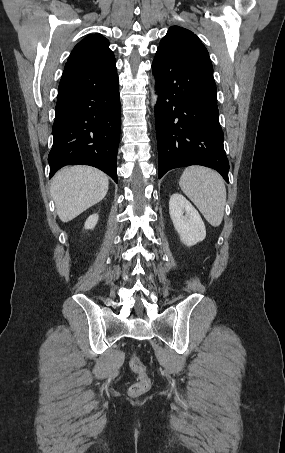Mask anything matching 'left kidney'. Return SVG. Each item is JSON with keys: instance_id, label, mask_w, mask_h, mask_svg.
I'll return each instance as SVG.
<instances>
[{"instance_id": "1", "label": "left kidney", "mask_w": 285, "mask_h": 453, "mask_svg": "<svg viewBox=\"0 0 285 453\" xmlns=\"http://www.w3.org/2000/svg\"><path fill=\"white\" fill-rule=\"evenodd\" d=\"M169 214L173 225L186 246H193L206 237L204 222L194 206L181 194L170 197Z\"/></svg>"}]
</instances>
